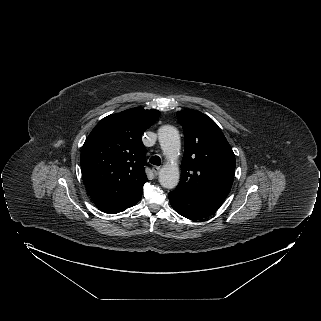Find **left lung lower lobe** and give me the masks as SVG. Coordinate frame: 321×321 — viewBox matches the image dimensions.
<instances>
[{"mask_svg": "<svg viewBox=\"0 0 321 321\" xmlns=\"http://www.w3.org/2000/svg\"><path fill=\"white\" fill-rule=\"evenodd\" d=\"M168 196L174 210L190 220H199L210 216L223 202L216 199L189 195L176 189L171 191Z\"/></svg>", "mask_w": 321, "mask_h": 321, "instance_id": "0a47b994", "label": "left lung lower lobe"}]
</instances>
